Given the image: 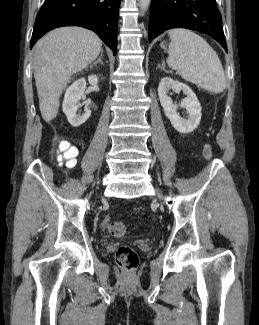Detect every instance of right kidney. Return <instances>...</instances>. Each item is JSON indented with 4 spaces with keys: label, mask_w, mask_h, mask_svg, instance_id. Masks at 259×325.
Instances as JSON below:
<instances>
[{
    "label": "right kidney",
    "mask_w": 259,
    "mask_h": 325,
    "mask_svg": "<svg viewBox=\"0 0 259 325\" xmlns=\"http://www.w3.org/2000/svg\"><path fill=\"white\" fill-rule=\"evenodd\" d=\"M88 82L96 86L98 83V77L96 75H90L88 77ZM85 88H86V80L84 78H80L76 80L65 92L64 101H63V112L65 113L68 122L73 127H78L85 123L91 115V110L87 106L82 115L77 114L78 108L81 106L79 101L81 99H85Z\"/></svg>",
    "instance_id": "ca27d5eb"
}]
</instances>
